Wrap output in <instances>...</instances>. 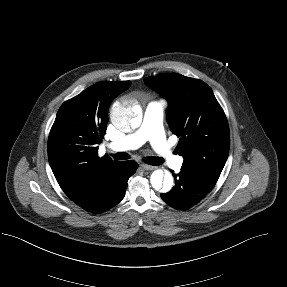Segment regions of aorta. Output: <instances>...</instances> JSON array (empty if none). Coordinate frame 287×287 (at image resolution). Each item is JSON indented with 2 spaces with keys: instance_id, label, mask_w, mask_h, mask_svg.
Returning <instances> with one entry per match:
<instances>
[{
  "instance_id": "aorta-1",
  "label": "aorta",
  "mask_w": 287,
  "mask_h": 287,
  "mask_svg": "<svg viewBox=\"0 0 287 287\" xmlns=\"http://www.w3.org/2000/svg\"><path fill=\"white\" fill-rule=\"evenodd\" d=\"M110 116L113 125L122 131H127L130 127L138 128L142 122L140 107L128 100L115 102ZM150 183L157 191L169 192L173 187V177L170 173L164 174L163 170L158 169L151 174Z\"/></svg>"
}]
</instances>
